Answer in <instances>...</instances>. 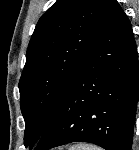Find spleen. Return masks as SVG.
<instances>
[{"mask_svg":"<svg viewBox=\"0 0 139 150\" xmlns=\"http://www.w3.org/2000/svg\"><path fill=\"white\" fill-rule=\"evenodd\" d=\"M70 150H102V149L97 146L81 144L72 147Z\"/></svg>","mask_w":139,"mask_h":150,"instance_id":"1","label":"spleen"}]
</instances>
